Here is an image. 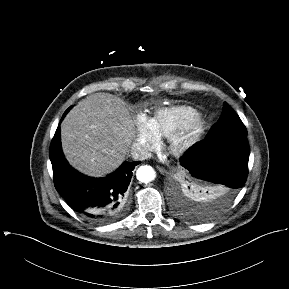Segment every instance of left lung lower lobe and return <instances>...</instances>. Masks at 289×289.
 Wrapping results in <instances>:
<instances>
[{
  "label": "left lung lower lobe",
  "mask_w": 289,
  "mask_h": 289,
  "mask_svg": "<svg viewBox=\"0 0 289 289\" xmlns=\"http://www.w3.org/2000/svg\"><path fill=\"white\" fill-rule=\"evenodd\" d=\"M249 145L246 136L205 138L180 158L187 169L188 188L218 193L216 205H223L241 188L248 175ZM190 183V184H189Z\"/></svg>",
  "instance_id": "obj_1"
}]
</instances>
